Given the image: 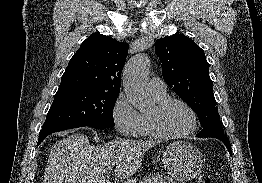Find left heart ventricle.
Returning a JSON list of instances; mask_svg holds the SVG:
<instances>
[{
	"mask_svg": "<svg viewBox=\"0 0 262 183\" xmlns=\"http://www.w3.org/2000/svg\"><path fill=\"white\" fill-rule=\"evenodd\" d=\"M154 108L151 110V112ZM162 129L170 134H181L188 131L193 125L190 112L180 104H172L160 118Z\"/></svg>",
	"mask_w": 262,
	"mask_h": 183,
	"instance_id": "b2bd125f",
	"label": "left heart ventricle"
}]
</instances>
